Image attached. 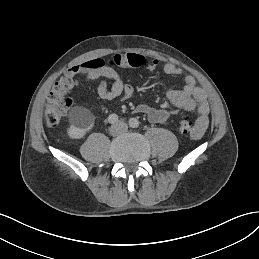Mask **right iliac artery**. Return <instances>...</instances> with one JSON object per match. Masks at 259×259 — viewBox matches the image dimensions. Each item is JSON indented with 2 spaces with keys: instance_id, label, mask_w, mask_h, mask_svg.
Masks as SVG:
<instances>
[{
  "instance_id": "1",
  "label": "right iliac artery",
  "mask_w": 259,
  "mask_h": 259,
  "mask_svg": "<svg viewBox=\"0 0 259 259\" xmlns=\"http://www.w3.org/2000/svg\"><path fill=\"white\" fill-rule=\"evenodd\" d=\"M118 121V116L116 114H111L108 117V122L111 124H115Z\"/></svg>"
}]
</instances>
